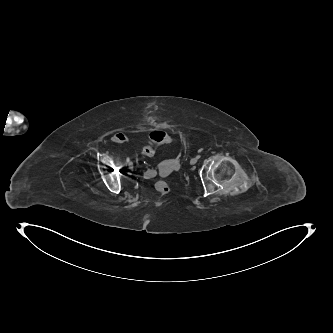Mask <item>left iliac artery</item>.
<instances>
[{
	"label": "left iliac artery",
	"instance_id": "1",
	"mask_svg": "<svg viewBox=\"0 0 333 333\" xmlns=\"http://www.w3.org/2000/svg\"><path fill=\"white\" fill-rule=\"evenodd\" d=\"M200 151H201V150H199V152H200ZM196 158H200V155H197Z\"/></svg>",
	"mask_w": 333,
	"mask_h": 333
}]
</instances>
